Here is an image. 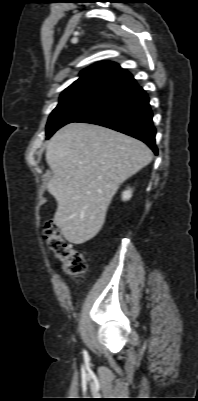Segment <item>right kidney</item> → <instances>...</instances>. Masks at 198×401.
<instances>
[{
	"instance_id": "1",
	"label": "right kidney",
	"mask_w": 198,
	"mask_h": 401,
	"mask_svg": "<svg viewBox=\"0 0 198 401\" xmlns=\"http://www.w3.org/2000/svg\"><path fill=\"white\" fill-rule=\"evenodd\" d=\"M132 197V190L128 188L126 191L122 193V199L124 201L129 200Z\"/></svg>"
}]
</instances>
